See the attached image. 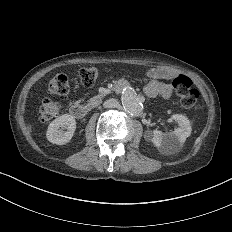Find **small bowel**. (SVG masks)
<instances>
[{
  "instance_id": "obj_1",
  "label": "small bowel",
  "mask_w": 232,
  "mask_h": 232,
  "mask_svg": "<svg viewBox=\"0 0 232 232\" xmlns=\"http://www.w3.org/2000/svg\"><path fill=\"white\" fill-rule=\"evenodd\" d=\"M162 85L156 79H150L145 83V91L149 96H154L160 93Z\"/></svg>"
}]
</instances>
